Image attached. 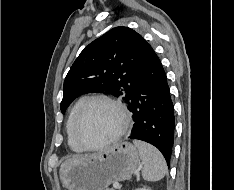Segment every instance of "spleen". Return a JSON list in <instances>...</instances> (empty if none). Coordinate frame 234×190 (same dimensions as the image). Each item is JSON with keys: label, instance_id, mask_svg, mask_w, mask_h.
I'll return each instance as SVG.
<instances>
[{"label": "spleen", "instance_id": "spleen-1", "mask_svg": "<svg viewBox=\"0 0 234 190\" xmlns=\"http://www.w3.org/2000/svg\"><path fill=\"white\" fill-rule=\"evenodd\" d=\"M134 145L138 148L141 160L144 164L142 176L144 180L155 182L164 178L167 173V164L158 149L152 145L134 140Z\"/></svg>", "mask_w": 234, "mask_h": 190}]
</instances>
